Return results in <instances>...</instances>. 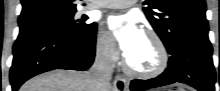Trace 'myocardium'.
Listing matches in <instances>:
<instances>
[{
	"mask_svg": "<svg viewBox=\"0 0 220 91\" xmlns=\"http://www.w3.org/2000/svg\"><path fill=\"white\" fill-rule=\"evenodd\" d=\"M143 34L149 37L154 43V46L157 51V56H158L156 65L150 70H137V69L132 68L129 65L126 57H124L123 68H124V71L132 77L141 78V79L155 78L161 75L166 70L169 64L168 51H167L164 41L162 40V38L159 36L157 32H155L152 29H146Z\"/></svg>",
	"mask_w": 220,
	"mask_h": 91,
	"instance_id": "f54148a6",
	"label": "myocardium"
}]
</instances>
